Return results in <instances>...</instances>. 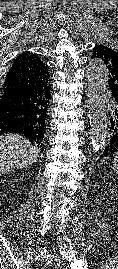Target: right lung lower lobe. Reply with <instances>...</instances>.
<instances>
[{
  "label": "right lung lower lobe",
  "instance_id": "1",
  "mask_svg": "<svg viewBox=\"0 0 118 269\" xmlns=\"http://www.w3.org/2000/svg\"><path fill=\"white\" fill-rule=\"evenodd\" d=\"M37 91L22 89H5L0 95V135L18 133L41 147L44 133L36 124Z\"/></svg>",
  "mask_w": 118,
  "mask_h": 269
}]
</instances>
